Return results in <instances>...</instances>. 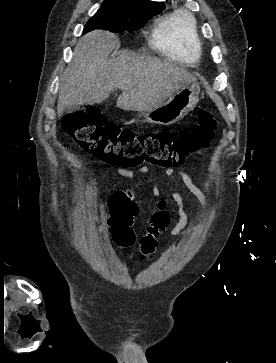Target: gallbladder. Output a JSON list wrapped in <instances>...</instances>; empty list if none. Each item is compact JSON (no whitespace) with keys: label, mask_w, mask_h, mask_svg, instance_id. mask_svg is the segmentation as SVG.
I'll use <instances>...</instances> for the list:
<instances>
[{"label":"gallbladder","mask_w":276,"mask_h":363,"mask_svg":"<svg viewBox=\"0 0 276 363\" xmlns=\"http://www.w3.org/2000/svg\"><path fill=\"white\" fill-rule=\"evenodd\" d=\"M77 109H78V107H77V106H69V107L67 108L68 112H73V111H76Z\"/></svg>","instance_id":"gallbladder-1"}]
</instances>
